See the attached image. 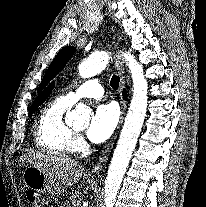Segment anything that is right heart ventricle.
<instances>
[{
  "label": "right heart ventricle",
  "instance_id": "e07e8e85",
  "mask_svg": "<svg viewBox=\"0 0 206 207\" xmlns=\"http://www.w3.org/2000/svg\"><path fill=\"white\" fill-rule=\"evenodd\" d=\"M71 106L72 103L65 96H60L42 110L35 126L36 146L59 153H70L76 150V135L64 119L65 113Z\"/></svg>",
  "mask_w": 206,
  "mask_h": 207
}]
</instances>
